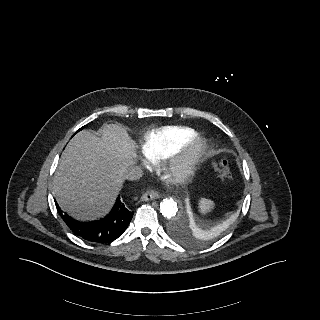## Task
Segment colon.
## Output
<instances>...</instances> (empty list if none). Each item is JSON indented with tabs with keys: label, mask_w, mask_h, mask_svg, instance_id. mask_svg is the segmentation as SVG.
<instances>
[{
	"label": "colon",
	"mask_w": 320,
	"mask_h": 320,
	"mask_svg": "<svg viewBox=\"0 0 320 320\" xmlns=\"http://www.w3.org/2000/svg\"><path fill=\"white\" fill-rule=\"evenodd\" d=\"M218 173L222 180L229 181L231 179L229 167L227 161L222 159L218 164Z\"/></svg>",
	"instance_id": "1"
}]
</instances>
